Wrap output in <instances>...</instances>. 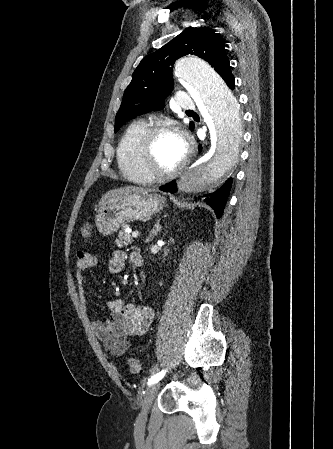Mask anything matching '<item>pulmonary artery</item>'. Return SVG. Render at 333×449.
<instances>
[{"mask_svg":"<svg viewBox=\"0 0 333 449\" xmlns=\"http://www.w3.org/2000/svg\"><path fill=\"white\" fill-rule=\"evenodd\" d=\"M177 102L180 105V107H182L183 109H186V110L193 109L195 107L194 100L186 92H181L178 95Z\"/></svg>","mask_w":333,"mask_h":449,"instance_id":"obj_1","label":"pulmonary artery"}]
</instances>
